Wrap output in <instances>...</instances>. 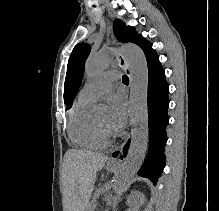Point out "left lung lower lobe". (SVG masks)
<instances>
[{
	"label": "left lung lower lobe",
	"instance_id": "left-lung-lower-lobe-1",
	"mask_svg": "<svg viewBox=\"0 0 219 211\" xmlns=\"http://www.w3.org/2000/svg\"><path fill=\"white\" fill-rule=\"evenodd\" d=\"M146 60L148 64L149 150L145 162L139 170V175L156 184L165 166L164 146L167 142L165 128L169 120L167 114L169 86L157 53L152 51L146 56ZM129 144L128 141L124 146V156L127 154ZM117 154L118 152H114L112 156L116 157Z\"/></svg>",
	"mask_w": 219,
	"mask_h": 211
}]
</instances>
